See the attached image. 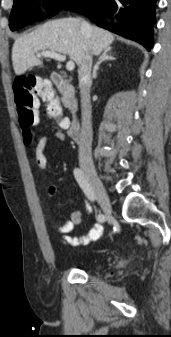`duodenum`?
I'll use <instances>...</instances> for the list:
<instances>
[{
  "mask_svg": "<svg viewBox=\"0 0 171 337\" xmlns=\"http://www.w3.org/2000/svg\"><path fill=\"white\" fill-rule=\"evenodd\" d=\"M52 81L54 85L61 90H64L67 93V96L69 98V105L72 109H76V101H75V95L72 89V83L71 80L63 76L59 73H52L51 75ZM68 134L70 138L74 141H80L81 140V130L79 123L75 120L71 122L68 127Z\"/></svg>",
  "mask_w": 171,
  "mask_h": 337,
  "instance_id": "1",
  "label": "duodenum"
}]
</instances>
